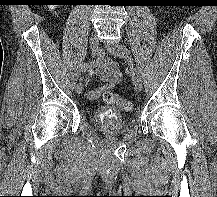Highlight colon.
Here are the masks:
<instances>
[{
    "label": "colon",
    "mask_w": 217,
    "mask_h": 197,
    "mask_svg": "<svg viewBox=\"0 0 217 197\" xmlns=\"http://www.w3.org/2000/svg\"><path fill=\"white\" fill-rule=\"evenodd\" d=\"M103 100L109 106H118L123 111H129L132 108L131 102L121 98L111 91H105L103 93Z\"/></svg>",
    "instance_id": "colon-1"
}]
</instances>
